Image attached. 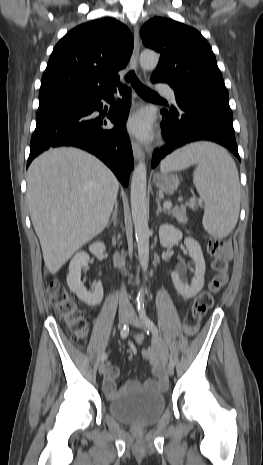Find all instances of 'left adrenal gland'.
<instances>
[{
    "label": "left adrenal gland",
    "mask_w": 263,
    "mask_h": 465,
    "mask_svg": "<svg viewBox=\"0 0 263 465\" xmlns=\"http://www.w3.org/2000/svg\"><path fill=\"white\" fill-rule=\"evenodd\" d=\"M156 201H157V205H158L157 210H156V214L159 215L160 212L167 213L166 209L161 207L160 200L157 198Z\"/></svg>",
    "instance_id": "left-adrenal-gland-1"
}]
</instances>
